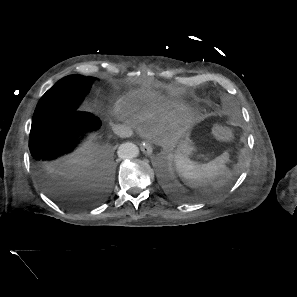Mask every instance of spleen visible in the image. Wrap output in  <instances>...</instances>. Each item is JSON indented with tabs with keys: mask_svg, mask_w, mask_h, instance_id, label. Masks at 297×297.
I'll use <instances>...</instances> for the list:
<instances>
[{
	"mask_svg": "<svg viewBox=\"0 0 297 297\" xmlns=\"http://www.w3.org/2000/svg\"><path fill=\"white\" fill-rule=\"evenodd\" d=\"M229 160L227 152H224L214 160L199 164L188 157L177 156L176 168L180 176L193 186L218 185L221 177L226 173L225 163Z\"/></svg>",
	"mask_w": 297,
	"mask_h": 297,
	"instance_id": "spleen-1",
	"label": "spleen"
}]
</instances>
